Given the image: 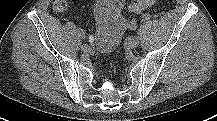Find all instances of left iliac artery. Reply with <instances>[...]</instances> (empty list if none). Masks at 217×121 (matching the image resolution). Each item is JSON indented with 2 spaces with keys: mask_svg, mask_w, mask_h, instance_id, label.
Returning a JSON list of instances; mask_svg holds the SVG:
<instances>
[{
  "mask_svg": "<svg viewBox=\"0 0 217 121\" xmlns=\"http://www.w3.org/2000/svg\"><path fill=\"white\" fill-rule=\"evenodd\" d=\"M141 21L144 22V23L151 22V17H150V15H148V14H143L142 17H141Z\"/></svg>",
  "mask_w": 217,
  "mask_h": 121,
  "instance_id": "44dca946",
  "label": "left iliac artery"
}]
</instances>
